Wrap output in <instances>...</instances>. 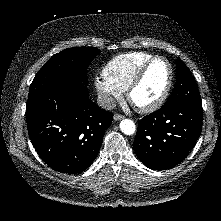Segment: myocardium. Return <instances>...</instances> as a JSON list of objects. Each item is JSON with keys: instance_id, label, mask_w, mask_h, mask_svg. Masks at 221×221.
<instances>
[{"instance_id": "obj_1", "label": "myocardium", "mask_w": 221, "mask_h": 221, "mask_svg": "<svg viewBox=\"0 0 221 221\" xmlns=\"http://www.w3.org/2000/svg\"><path fill=\"white\" fill-rule=\"evenodd\" d=\"M156 60L164 61L168 67V79H167L165 88H164L163 92L161 93V95L154 102H152L148 105H137L133 101V93H134L135 89L142 82L150 65L153 62H155ZM173 77H174L173 67L167 58H165L164 56H161V55H155V56L151 57L139 68V70L136 72L135 76L133 77V79L129 83V85L126 89V95H127L128 101L135 107V109L137 111H139L141 113L154 112L155 110L159 109L164 104L166 99L168 98V95L170 93V90H171L172 84H173Z\"/></svg>"}]
</instances>
